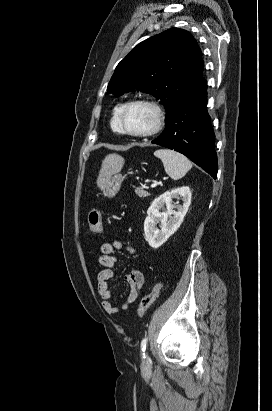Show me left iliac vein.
Here are the masks:
<instances>
[{"label": "left iliac vein", "mask_w": 272, "mask_h": 411, "mask_svg": "<svg viewBox=\"0 0 272 411\" xmlns=\"http://www.w3.org/2000/svg\"><path fill=\"white\" fill-rule=\"evenodd\" d=\"M148 364V356L146 355L145 358L143 359L142 365L145 366Z\"/></svg>", "instance_id": "obj_1"}]
</instances>
